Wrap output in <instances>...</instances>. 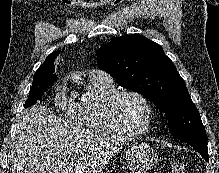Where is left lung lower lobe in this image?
I'll return each instance as SVG.
<instances>
[{"instance_id": "1", "label": "left lung lower lobe", "mask_w": 219, "mask_h": 173, "mask_svg": "<svg viewBox=\"0 0 219 173\" xmlns=\"http://www.w3.org/2000/svg\"><path fill=\"white\" fill-rule=\"evenodd\" d=\"M201 155L202 157L208 161V149L200 146H193Z\"/></svg>"}]
</instances>
